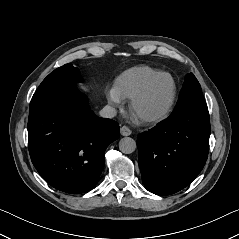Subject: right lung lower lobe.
I'll list each match as a JSON object with an SVG mask.
<instances>
[{"label": "right lung lower lobe", "instance_id": "right-lung-lower-lobe-1", "mask_svg": "<svg viewBox=\"0 0 239 239\" xmlns=\"http://www.w3.org/2000/svg\"><path fill=\"white\" fill-rule=\"evenodd\" d=\"M112 119L99 118L75 84L55 89L30 104L28 145L33 165L54 188L90 191L104 167L105 150L119 138Z\"/></svg>", "mask_w": 239, "mask_h": 239}]
</instances>
